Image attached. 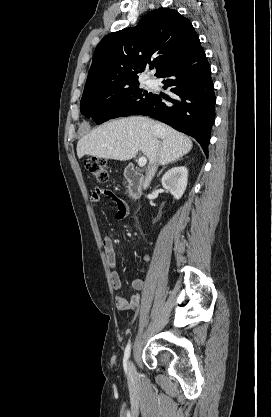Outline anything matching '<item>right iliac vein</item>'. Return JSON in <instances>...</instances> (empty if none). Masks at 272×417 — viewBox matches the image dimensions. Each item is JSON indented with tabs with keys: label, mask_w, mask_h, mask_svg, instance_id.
I'll use <instances>...</instances> for the list:
<instances>
[{
	"label": "right iliac vein",
	"mask_w": 272,
	"mask_h": 417,
	"mask_svg": "<svg viewBox=\"0 0 272 417\" xmlns=\"http://www.w3.org/2000/svg\"><path fill=\"white\" fill-rule=\"evenodd\" d=\"M128 375L130 378H133L135 375V368L131 361L128 362Z\"/></svg>",
	"instance_id": "1"
}]
</instances>
